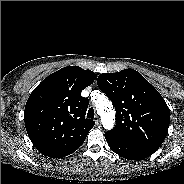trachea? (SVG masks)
<instances>
[{"instance_id":"trachea-1","label":"trachea","mask_w":184,"mask_h":184,"mask_svg":"<svg viewBox=\"0 0 184 184\" xmlns=\"http://www.w3.org/2000/svg\"><path fill=\"white\" fill-rule=\"evenodd\" d=\"M95 116V112L93 108H90L87 113V118L93 119Z\"/></svg>"}]
</instances>
